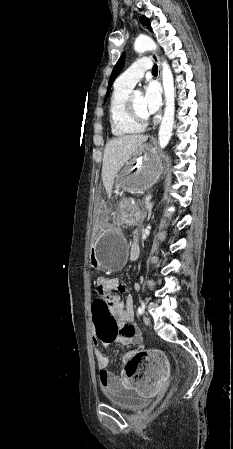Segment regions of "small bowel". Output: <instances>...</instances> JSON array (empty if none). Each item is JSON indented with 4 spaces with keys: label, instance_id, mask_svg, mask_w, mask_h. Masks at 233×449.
I'll list each match as a JSON object with an SVG mask.
<instances>
[{
    "label": "small bowel",
    "instance_id": "1",
    "mask_svg": "<svg viewBox=\"0 0 233 449\" xmlns=\"http://www.w3.org/2000/svg\"><path fill=\"white\" fill-rule=\"evenodd\" d=\"M130 256L131 258L135 257L132 249ZM94 286L96 287V296H100L101 301H107V310H110L112 319L116 320L119 333L117 342L126 346L141 345L143 338L139 327L134 322L133 298L127 296L122 300L120 295L113 293V291L123 293L126 289L125 284L118 278H112L111 274H97ZM110 344L98 343L97 334H93V353L101 385L104 388H113L123 383L131 384L132 390H139L143 399H152L154 394H158L164 381L163 377H167L170 370L169 363H166V354H163V347H146L149 363L146 368L142 369V375L118 376L107 368L108 358L101 350V346L107 347ZM129 355L131 353L127 354V356Z\"/></svg>",
    "mask_w": 233,
    "mask_h": 449
}]
</instances>
